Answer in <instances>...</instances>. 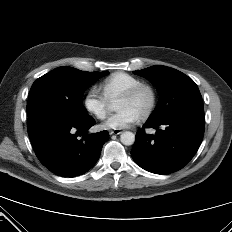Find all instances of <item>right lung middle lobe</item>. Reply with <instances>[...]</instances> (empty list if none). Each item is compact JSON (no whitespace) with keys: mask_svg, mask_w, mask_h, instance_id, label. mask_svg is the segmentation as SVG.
<instances>
[{"mask_svg":"<svg viewBox=\"0 0 232 232\" xmlns=\"http://www.w3.org/2000/svg\"><path fill=\"white\" fill-rule=\"evenodd\" d=\"M72 67H58L38 78L32 85L27 103V114L50 112L70 117L88 116L83 106L85 89L106 75Z\"/></svg>","mask_w":232,"mask_h":232,"instance_id":"1","label":"right lung middle lobe"}]
</instances>
